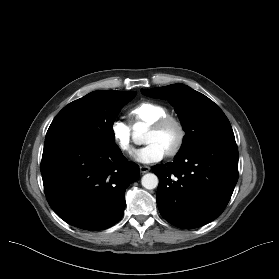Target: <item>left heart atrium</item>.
I'll use <instances>...</instances> for the list:
<instances>
[{
    "instance_id": "1",
    "label": "left heart atrium",
    "mask_w": 279,
    "mask_h": 279,
    "mask_svg": "<svg viewBox=\"0 0 279 279\" xmlns=\"http://www.w3.org/2000/svg\"><path fill=\"white\" fill-rule=\"evenodd\" d=\"M165 154V150L160 145L152 142L137 150L134 157L136 160L143 163H153L160 161Z\"/></svg>"
}]
</instances>
